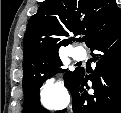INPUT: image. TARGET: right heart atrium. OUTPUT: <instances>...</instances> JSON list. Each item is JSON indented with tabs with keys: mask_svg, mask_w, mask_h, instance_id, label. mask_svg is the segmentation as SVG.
<instances>
[{
	"mask_svg": "<svg viewBox=\"0 0 121 113\" xmlns=\"http://www.w3.org/2000/svg\"><path fill=\"white\" fill-rule=\"evenodd\" d=\"M40 97L43 104L50 109H59L68 101V93L63 85L54 79H49L41 87Z\"/></svg>",
	"mask_w": 121,
	"mask_h": 113,
	"instance_id": "right-heart-atrium-1",
	"label": "right heart atrium"
}]
</instances>
